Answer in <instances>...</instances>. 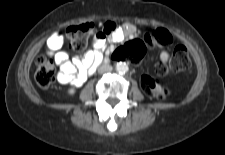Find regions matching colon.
Wrapping results in <instances>:
<instances>
[{
	"label": "colon",
	"instance_id": "5ec220e1",
	"mask_svg": "<svg viewBox=\"0 0 225 155\" xmlns=\"http://www.w3.org/2000/svg\"><path fill=\"white\" fill-rule=\"evenodd\" d=\"M93 33V24L89 22L70 26L66 29V37L69 40L70 47L76 52H82L86 49L88 39ZM173 37L171 33L164 28L152 29L145 33L144 40L134 39L119 49L111 53V58L115 62L142 60L147 47L168 46L172 44ZM191 65V60L185 46L175 47L169 63L159 64L156 72L160 76H166L171 72H182ZM57 79V72L52 60L40 56L35 62V81L41 88L50 87ZM145 92L160 101L166 100L170 95V90L162 86L156 79L145 75L142 78Z\"/></svg>",
	"mask_w": 225,
	"mask_h": 155
}]
</instances>
